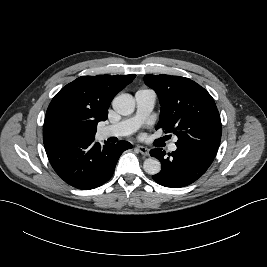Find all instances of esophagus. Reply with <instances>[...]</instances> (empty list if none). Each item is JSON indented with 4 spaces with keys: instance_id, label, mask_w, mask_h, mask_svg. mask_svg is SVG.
Returning a JSON list of instances; mask_svg holds the SVG:
<instances>
[{
    "instance_id": "obj_1",
    "label": "esophagus",
    "mask_w": 267,
    "mask_h": 267,
    "mask_svg": "<svg viewBox=\"0 0 267 267\" xmlns=\"http://www.w3.org/2000/svg\"><path fill=\"white\" fill-rule=\"evenodd\" d=\"M137 149L139 150V152L144 155V156H148L149 155V149L147 147L144 146H137Z\"/></svg>"
}]
</instances>
